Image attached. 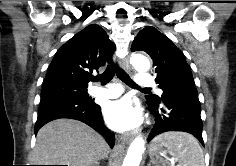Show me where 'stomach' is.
Wrapping results in <instances>:
<instances>
[{
	"instance_id": "stomach-1",
	"label": "stomach",
	"mask_w": 236,
	"mask_h": 166,
	"mask_svg": "<svg viewBox=\"0 0 236 166\" xmlns=\"http://www.w3.org/2000/svg\"><path fill=\"white\" fill-rule=\"evenodd\" d=\"M159 154H160L159 151L154 149L153 144L151 143L149 155H150L153 166H161Z\"/></svg>"
}]
</instances>
